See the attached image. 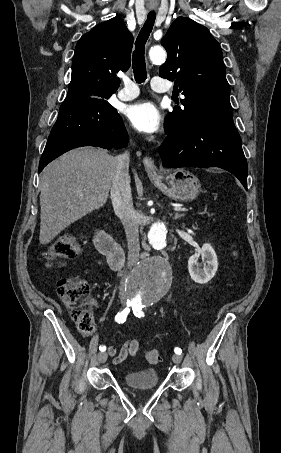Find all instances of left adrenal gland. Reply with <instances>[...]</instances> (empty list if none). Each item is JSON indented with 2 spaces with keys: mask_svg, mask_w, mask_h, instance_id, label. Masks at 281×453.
Returning a JSON list of instances; mask_svg holds the SVG:
<instances>
[{
  "mask_svg": "<svg viewBox=\"0 0 281 453\" xmlns=\"http://www.w3.org/2000/svg\"><path fill=\"white\" fill-rule=\"evenodd\" d=\"M180 216H183V214H175L174 218H180Z\"/></svg>",
  "mask_w": 281,
  "mask_h": 453,
  "instance_id": "a2214340",
  "label": "left adrenal gland"
}]
</instances>
